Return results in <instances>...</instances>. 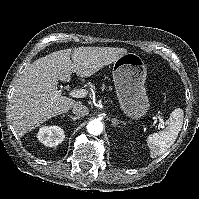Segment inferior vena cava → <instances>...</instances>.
Instances as JSON below:
<instances>
[{"mask_svg":"<svg viewBox=\"0 0 199 199\" xmlns=\"http://www.w3.org/2000/svg\"><path fill=\"white\" fill-rule=\"evenodd\" d=\"M72 112L78 117L86 116L89 113L88 108L81 102H76V104L73 106Z\"/></svg>","mask_w":199,"mask_h":199,"instance_id":"inferior-vena-cava-1","label":"inferior vena cava"}]
</instances>
